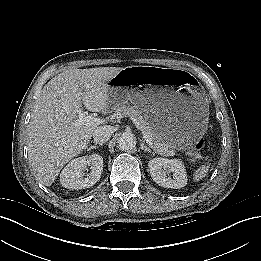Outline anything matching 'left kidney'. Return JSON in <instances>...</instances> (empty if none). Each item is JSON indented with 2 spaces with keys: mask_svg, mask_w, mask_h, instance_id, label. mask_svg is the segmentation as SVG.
<instances>
[{
  "mask_svg": "<svg viewBox=\"0 0 261 261\" xmlns=\"http://www.w3.org/2000/svg\"><path fill=\"white\" fill-rule=\"evenodd\" d=\"M148 168L152 179L162 187L179 189L187 184L186 169L179 159L154 158Z\"/></svg>",
  "mask_w": 261,
  "mask_h": 261,
  "instance_id": "5707ae66",
  "label": "left kidney"
}]
</instances>
